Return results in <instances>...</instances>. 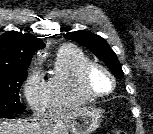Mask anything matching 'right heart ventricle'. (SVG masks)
<instances>
[{
  "label": "right heart ventricle",
  "mask_w": 153,
  "mask_h": 134,
  "mask_svg": "<svg viewBox=\"0 0 153 134\" xmlns=\"http://www.w3.org/2000/svg\"><path fill=\"white\" fill-rule=\"evenodd\" d=\"M89 62L90 58L77 47L64 46L58 51L45 82L46 107L79 106L92 100L82 92L79 83L80 71Z\"/></svg>",
  "instance_id": "1"
}]
</instances>
